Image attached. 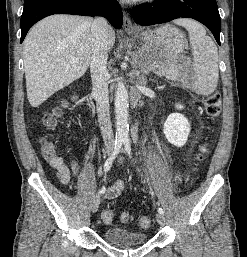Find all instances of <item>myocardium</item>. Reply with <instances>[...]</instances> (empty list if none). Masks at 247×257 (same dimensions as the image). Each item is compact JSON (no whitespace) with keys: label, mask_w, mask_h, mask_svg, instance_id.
Listing matches in <instances>:
<instances>
[{"label":"myocardium","mask_w":247,"mask_h":257,"mask_svg":"<svg viewBox=\"0 0 247 257\" xmlns=\"http://www.w3.org/2000/svg\"><path fill=\"white\" fill-rule=\"evenodd\" d=\"M139 1H142V2H147V1H150V0H139Z\"/></svg>","instance_id":"obj_1"}]
</instances>
